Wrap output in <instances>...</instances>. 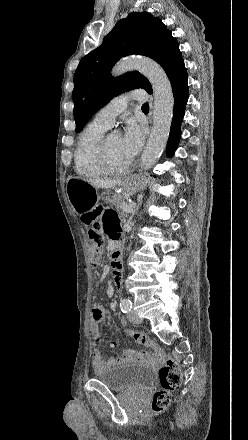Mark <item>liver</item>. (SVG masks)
Returning a JSON list of instances; mask_svg holds the SVG:
<instances>
[{"label": "liver", "instance_id": "1", "mask_svg": "<svg viewBox=\"0 0 248 440\" xmlns=\"http://www.w3.org/2000/svg\"><path fill=\"white\" fill-rule=\"evenodd\" d=\"M95 188L109 189L121 183V179H86Z\"/></svg>", "mask_w": 248, "mask_h": 440}]
</instances>
